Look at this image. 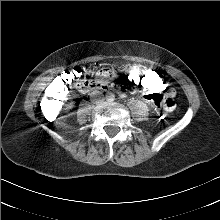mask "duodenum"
<instances>
[{
  "instance_id": "1",
  "label": "duodenum",
  "mask_w": 220,
  "mask_h": 220,
  "mask_svg": "<svg viewBox=\"0 0 220 220\" xmlns=\"http://www.w3.org/2000/svg\"><path fill=\"white\" fill-rule=\"evenodd\" d=\"M75 87L78 89V90H81V91H88L92 88H95V87H89V86H86V83L84 81H78L76 82L75 84Z\"/></svg>"
}]
</instances>
